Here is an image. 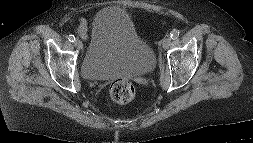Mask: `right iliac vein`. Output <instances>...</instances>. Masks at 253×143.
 Masks as SVG:
<instances>
[{"mask_svg": "<svg viewBox=\"0 0 253 143\" xmlns=\"http://www.w3.org/2000/svg\"><path fill=\"white\" fill-rule=\"evenodd\" d=\"M74 45L77 49H82L83 48V44L79 39L74 41Z\"/></svg>", "mask_w": 253, "mask_h": 143, "instance_id": "right-iliac-vein-1", "label": "right iliac vein"}]
</instances>
